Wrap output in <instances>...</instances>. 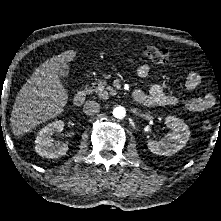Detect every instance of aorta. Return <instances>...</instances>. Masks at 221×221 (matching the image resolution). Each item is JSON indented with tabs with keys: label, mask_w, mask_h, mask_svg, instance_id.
<instances>
[{
	"label": "aorta",
	"mask_w": 221,
	"mask_h": 221,
	"mask_svg": "<svg viewBox=\"0 0 221 221\" xmlns=\"http://www.w3.org/2000/svg\"><path fill=\"white\" fill-rule=\"evenodd\" d=\"M113 116L117 119H123L126 116V110L123 106H117L113 109Z\"/></svg>",
	"instance_id": "obj_1"
}]
</instances>
